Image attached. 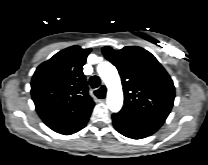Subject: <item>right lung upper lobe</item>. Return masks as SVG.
Wrapping results in <instances>:
<instances>
[{
  "label": "right lung upper lobe",
  "mask_w": 208,
  "mask_h": 165,
  "mask_svg": "<svg viewBox=\"0 0 208 165\" xmlns=\"http://www.w3.org/2000/svg\"><path fill=\"white\" fill-rule=\"evenodd\" d=\"M91 49L71 46L36 69L31 95L42 121L53 131L70 135L86 126L94 107L83 65Z\"/></svg>",
  "instance_id": "obj_1"
}]
</instances>
